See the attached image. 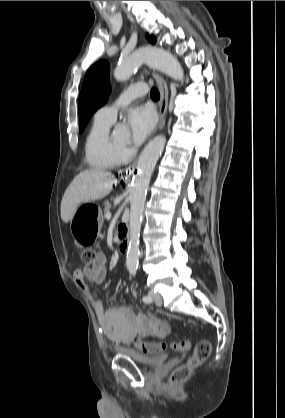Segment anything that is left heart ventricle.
Wrapping results in <instances>:
<instances>
[{"instance_id": "b2bd125f", "label": "left heart ventricle", "mask_w": 285, "mask_h": 418, "mask_svg": "<svg viewBox=\"0 0 285 418\" xmlns=\"http://www.w3.org/2000/svg\"><path fill=\"white\" fill-rule=\"evenodd\" d=\"M113 142L118 146H124L128 141V134L126 132L116 133L112 136Z\"/></svg>"}]
</instances>
